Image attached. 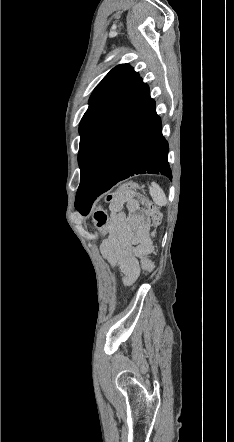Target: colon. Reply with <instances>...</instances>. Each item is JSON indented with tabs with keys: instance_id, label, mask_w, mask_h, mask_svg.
<instances>
[{
	"instance_id": "1",
	"label": "colon",
	"mask_w": 234,
	"mask_h": 442,
	"mask_svg": "<svg viewBox=\"0 0 234 442\" xmlns=\"http://www.w3.org/2000/svg\"><path fill=\"white\" fill-rule=\"evenodd\" d=\"M139 190H140V187L137 183L125 182L116 190V192H114L113 194H110L107 197V201L113 203L119 199L125 198L126 196H128L134 192H138ZM144 206H145V213L147 216V230H146L144 239H145V241L148 242L149 241V228L154 227L159 224L160 212H159L157 206L153 202H151L147 199L144 200ZM93 219H94L96 226L99 229L104 230V228L107 224V221H108V216L102 208H97L95 210V212L93 213ZM142 266L144 267L143 268L144 273L149 274L152 272L154 263H153V261L150 260V256L148 254H145L143 256Z\"/></svg>"
}]
</instances>
